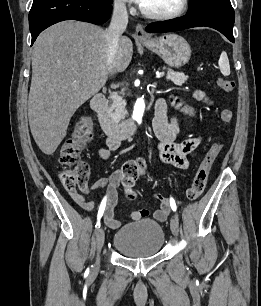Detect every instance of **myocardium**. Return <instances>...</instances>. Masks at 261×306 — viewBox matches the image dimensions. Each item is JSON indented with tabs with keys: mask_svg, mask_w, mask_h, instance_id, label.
<instances>
[{
	"mask_svg": "<svg viewBox=\"0 0 261 306\" xmlns=\"http://www.w3.org/2000/svg\"><path fill=\"white\" fill-rule=\"evenodd\" d=\"M189 2L190 0H181L180 5L177 9L167 13L151 12L146 10L142 5L140 6V11L147 18L157 19V20H170L178 18L181 15H183L188 9Z\"/></svg>",
	"mask_w": 261,
	"mask_h": 306,
	"instance_id": "1",
	"label": "myocardium"
}]
</instances>
